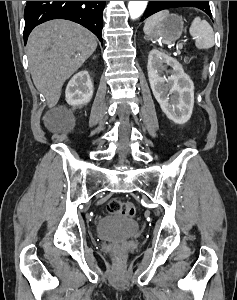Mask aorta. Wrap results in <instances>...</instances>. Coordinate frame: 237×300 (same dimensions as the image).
<instances>
[{"label":"aorta","mask_w":237,"mask_h":300,"mask_svg":"<svg viewBox=\"0 0 237 300\" xmlns=\"http://www.w3.org/2000/svg\"><path fill=\"white\" fill-rule=\"evenodd\" d=\"M148 1H129L128 11L131 19H138L143 15Z\"/></svg>","instance_id":"aorta-1"}]
</instances>
